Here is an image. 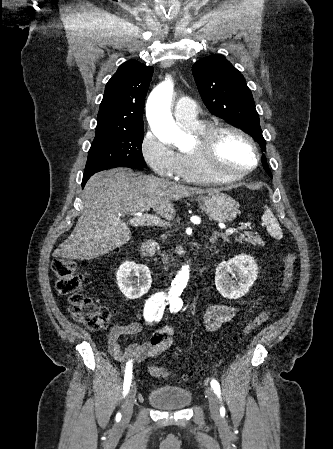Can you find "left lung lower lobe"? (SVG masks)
<instances>
[{
    "label": "left lung lower lobe",
    "mask_w": 333,
    "mask_h": 449,
    "mask_svg": "<svg viewBox=\"0 0 333 449\" xmlns=\"http://www.w3.org/2000/svg\"><path fill=\"white\" fill-rule=\"evenodd\" d=\"M262 163H263V167H264L265 171L268 173L269 176L272 177L271 171H270V169L268 167L266 158L264 156L262 157Z\"/></svg>",
    "instance_id": "obj_1"
}]
</instances>
